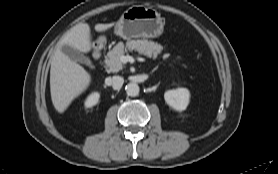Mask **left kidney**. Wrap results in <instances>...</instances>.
I'll use <instances>...</instances> for the list:
<instances>
[{
  "instance_id": "5707ae66",
  "label": "left kidney",
  "mask_w": 278,
  "mask_h": 174,
  "mask_svg": "<svg viewBox=\"0 0 278 174\" xmlns=\"http://www.w3.org/2000/svg\"><path fill=\"white\" fill-rule=\"evenodd\" d=\"M190 93L186 88L168 90L164 94L166 103L177 111H183L189 104Z\"/></svg>"
}]
</instances>
